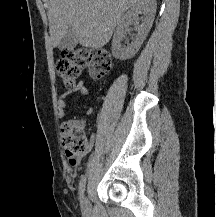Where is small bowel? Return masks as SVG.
<instances>
[{"mask_svg":"<svg viewBox=\"0 0 216 217\" xmlns=\"http://www.w3.org/2000/svg\"><path fill=\"white\" fill-rule=\"evenodd\" d=\"M73 93L89 95L91 91L84 82H79L78 84L68 88L58 99V110L60 118H63L65 116V110L67 108V98ZM85 112L86 114H91L92 108L90 106H87L85 108Z\"/></svg>","mask_w":216,"mask_h":217,"instance_id":"small-bowel-1","label":"small bowel"}]
</instances>
